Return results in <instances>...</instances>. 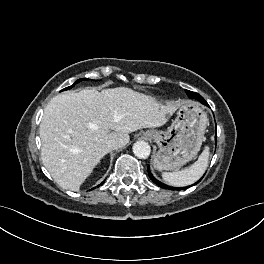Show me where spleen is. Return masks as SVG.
Segmentation results:
<instances>
[{"instance_id":"1","label":"spleen","mask_w":264,"mask_h":264,"mask_svg":"<svg viewBox=\"0 0 264 264\" xmlns=\"http://www.w3.org/2000/svg\"><path fill=\"white\" fill-rule=\"evenodd\" d=\"M209 147L205 146L198 160L181 171L163 172V180L172 186H186L197 181L206 171L209 160Z\"/></svg>"}]
</instances>
